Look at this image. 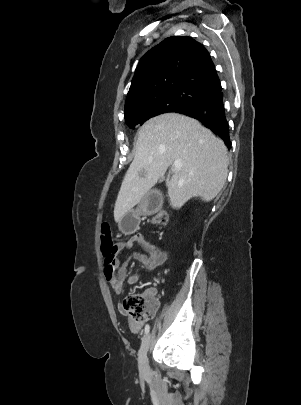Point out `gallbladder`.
<instances>
[{"mask_svg": "<svg viewBox=\"0 0 301 405\" xmlns=\"http://www.w3.org/2000/svg\"><path fill=\"white\" fill-rule=\"evenodd\" d=\"M163 179H164V177H163V178H161V181H163Z\"/></svg>", "mask_w": 301, "mask_h": 405, "instance_id": "gallbladder-1", "label": "gallbladder"}]
</instances>
